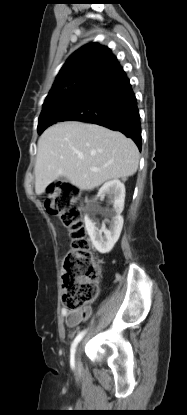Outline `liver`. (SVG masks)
Instances as JSON below:
<instances>
[{
	"label": "liver",
	"mask_w": 187,
	"mask_h": 415,
	"mask_svg": "<svg viewBox=\"0 0 187 415\" xmlns=\"http://www.w3.org/2000/svg\"><path fill=\"white\" fill-rule=\"evenodd\" d=\"M139 151L122 133L78 121L57 123L38 140L35 192L41 195L58 177L80 190L135 174Z\"/></svg>",
	"instance_id": "6515ba94"
}]
</instances>
